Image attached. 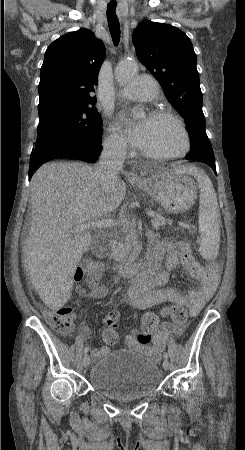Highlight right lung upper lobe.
<instances>
[{"label":"right lung upper lobe","instance_id":"right-lung-upper-lobe-1","mask_svg":"<svg viewBox=\"0 0 245 450\" xmlns=\"http://www.w3.org/2000/svg\"><path fill=\"white\" fill-rule=\"evenodd\" d=\"M105 57L104 45L91 31L80 29L54 41L40 71L38 109L56 103L92 106Z\"/></svg>","mask_w":245,"mask_h":450}]
</instances>
